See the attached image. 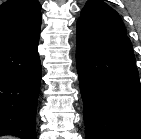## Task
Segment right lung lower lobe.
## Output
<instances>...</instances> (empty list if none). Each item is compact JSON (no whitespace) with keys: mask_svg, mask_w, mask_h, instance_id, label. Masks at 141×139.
Listing matches in <instances>:
<instances>
[{"mask_svg":"<svg viewBox=\"0 0 141 139\" xmlns=\"http://www.w3.org/2000/svg\"><path fill=\"white\" fill-rule=\"evenodd\" d=\"M40 33L0 47V136L36 139V110L41 82L37 51Z\"/></svg>","mask_w":141,"mask_h":139,"instance_id":"98d812e1","label":"right lung lower lobe"}]
</instances>
